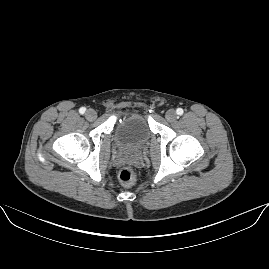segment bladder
<instances>
[{"instance_id": "1", "label": "bladder", "mask_w": 269, "mask_h": 269, "mask_svg": "<svg viewBox=\"0 0 269 269\" xmlns=\"http://www.w3.org/2000/svg\"><path fill=\"white\" fill-rule=\"evenodd\" d=\"M118 143L129 153H136L149 138V119L141 112H128L114 123Z\"/></svg>"}]
</instances>
